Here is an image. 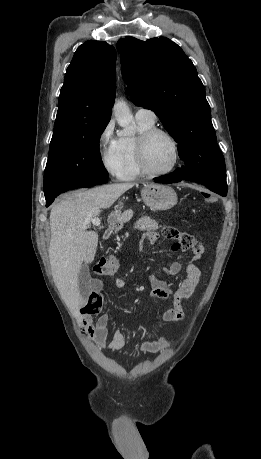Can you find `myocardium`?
I'll return each instance as SVG.
<instances>
[{"label":"myocardium","mask_w":261,"mask_h":459,"mask_svg":"<svg viewBox=\"0 0 261 459\" xmlns=\"http://www.w3.org/2000/svg\"><path fill=\"white\" fill-rule=\"evenodd\" d=\"M156 135L166 136L172 143L174 149V160L172 165L165 171L156 172L149 168L147 163V147L150 140ZM136 157L142 174L150 177H161L171 174L178 166L180 160V146L175 136L168 130L153 127L141 133L136 141Z\"/></svg>","instance_id":"1"}]
</instances>
